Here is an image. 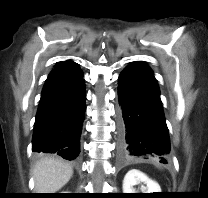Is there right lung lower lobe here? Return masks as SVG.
<instances>
[{
  "label": "right lung lower lobe",
  "instance_id": "98d812e1",
  "mask_svg": "<svg viewBox=\"0 0 208 198\" xmlns=\"http://www.w3.org/2000/svg\"><path fill=\"white\" fill-rule=\"evenodd\" d=\"M78 64L56 66L42 90L34 124L32 151L55 153L67 160L79 154L85 111V84Z\"/></svg>",
  "mask_w": 208,
  "mask_h": 198
}]
</instances>
